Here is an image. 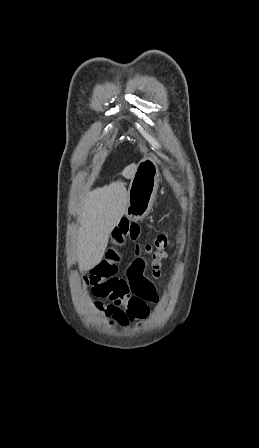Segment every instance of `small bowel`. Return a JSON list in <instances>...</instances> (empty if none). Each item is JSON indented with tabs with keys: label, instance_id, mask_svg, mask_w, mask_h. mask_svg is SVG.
I'll list each match as a JSON object with an SVG mask.
<instances>
[{
	"label": "small bowel",
	"instance_id": "obj_1",
	"mask_svg": "<svg viewBox=\"0 0 259 448\" xmlns=\"http://www.w3.org/2000/svg\"><path fill=\"white\" fill-rule=\"evenodd\" d=\"M140 234L137 224L122 220L113 229V246L108 248L104 258L83 278V283L92 288L98 297L108 298L110 303L93 302L94 309L110 322L127 326L131 322L145 320L149 315L148 304L158 302L153 283L144 274V260L136 246V257L128 264L125 277L118 276L121 254L118 247L127 238L136 241Z\"/></svg>",
	"mask_w": 259,
	"mask_h": 448
}]
</instances>
